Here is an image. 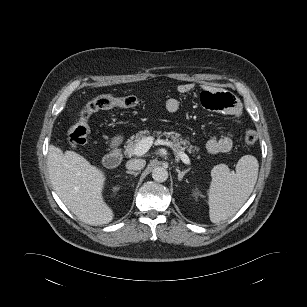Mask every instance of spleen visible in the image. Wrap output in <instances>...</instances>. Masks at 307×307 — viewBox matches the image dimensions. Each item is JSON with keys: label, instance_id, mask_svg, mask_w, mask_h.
<instances>
[{"label": "spleen", "instance_id": "3e777b00", "mask_svg": "<svg viewBox=\"0 0 307 307\" xmlns=\"http://www.w3.org/2000/svg\"><path fill=\"white\" fill-rule=\"evenodd\" d=\"M258 160L252 155L241 157L236 172L226 165L215 166L208 191L209 217L219 223L232 217L251 195L258 178Z\"/></svg>", "mask_w": 307, "mask_h": 307}]
</instances>
